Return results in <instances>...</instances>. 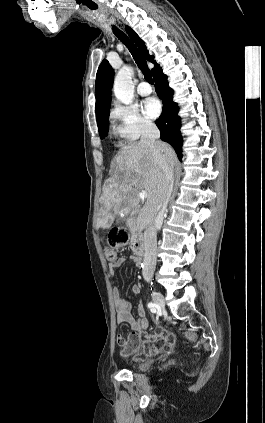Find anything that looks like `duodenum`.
<instances>
[{
	"instance_id": "410a0bca",
	"label": "duodenum",
	"mask_w": 265,
	"mask_h": 423,
	"mask_svg": "<svg viewBox=\"0 0 265 423\" xmlns=\"http://www.w3.org/2000/svg\"><path fill=\"white\" fill-rule=\"evenodd\" d=\"M131 231V247L134 253L136 254L138 260L141 262L144 256V244L141 237V233L138 229V226L135 221L130 223Z\"/></svg>"
}]
</instances>
